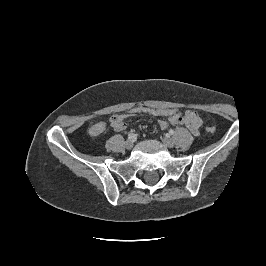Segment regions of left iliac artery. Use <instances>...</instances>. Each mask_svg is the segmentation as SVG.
I'll list each match as a JSON object with an SVG mask.
<instances>
[{"mask_svg":"<svg viewBox=\"0 0 266 266\" xmlns=\"http://www.w3.org/2000/svg\"><path fill=\"white\" fill-rule=\"evenodd\" d=\"M169 134H170V135H173V134H174V130H172V129L169 130Z\"/></svg>","mask_w":266,"mask_h":266,"instance_id":"1","label":"left iliac artery"}]
</instances>
